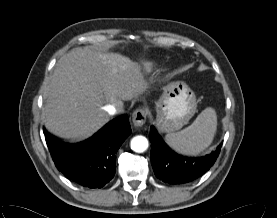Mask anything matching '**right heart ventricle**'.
Returning <instances> with one entry per match:
<instances>
[{
  "instance_id": "e07e8e85",
  "label": "right heart ventricle",
  "mask_w": 277,
  "mask_h": 218,
  "mask_svg": "<svg viewBox=\"0 0 277 218\" xmlns=\"http://www.w3.org/2000/svg\"><path fill=\"white\" fill-rule=\"evenodd\" d=\"M151 67H152V64H151V63L146 64V69H147V70L151 69Z\"/></svg>"
}]
</instances>
